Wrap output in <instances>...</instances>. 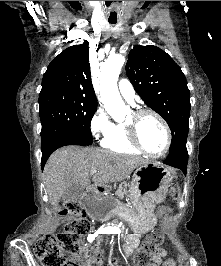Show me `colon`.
Listing matches in <instances>:
<instances>
[{
  "mask_svg": "<svg viewBox=\"0 0 221 266\" xmlns=\"http://www.w3.org/2000/svg\"><path fill=\"white\" fill-rule=\"evenodd\" d=\"M173 194L172 190L171 195ZM61 214L70 218L64 229L58 235H44L36 242L35 253L42 266H77L76 262L67 258L88 254L82 239L90 231V222L83 207L70 202L65 205ZM162 242L161 234L151 233L134 254L135 266H148ZM167 266H174V262L168 261Z\"/></svg>",
  "mask_w": 221,
  "mask_h": 266,
  "instance_id": "5ec220e1",
  "label": "colon"
}]
</instances>
